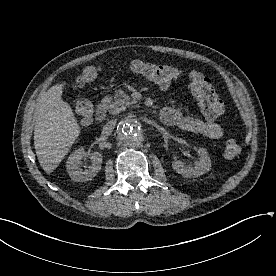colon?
Masks as SVG:
<instances>
[{
	"label": "colon",
	"mask_w": 276,
	"mask_h": 276,
	"mask_svg": "<svg viewBox=\"0 0 276 276\" xmlns=\"http://www.w3.org/2000/svg\"><path fill=\"white\" fill-rule=\"evenodd\" d=\"M129 68L148 80L162 87H167L176 81L182 72L174 67L145 62L139 59L128 61ZM100 71L98 66H89L85 68L76 80L75 86L81 88L94 81ZM191 90L198 100L202 113L209 120L219 119L224 112L222 100L217 95L211 80L197 71H191L188 74ZM75 111L82 123H89L93 116V104L88 99H78L75 102ZM241 153V146L236 139H228L223 148V154L227 159H233Z\"/></svg>",
	"instance_id": "colon-1"
}]
</instances>
